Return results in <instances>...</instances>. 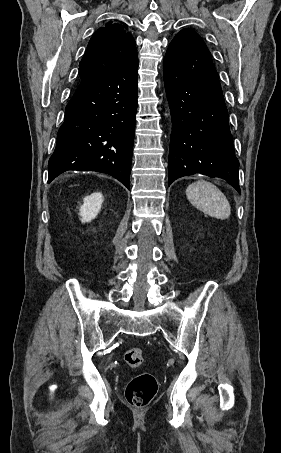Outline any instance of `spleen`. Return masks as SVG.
<instances>
[{
    "label": "spleen",
    "instance_id": "spleen-1",
    "mask_svg": "<svg viewBox=\"0 0 281 453\" xmlns=\"http://www.w3.org/2000/svg\"><path fill=\"white\" fill-rule=\"evenodd\" d=\"M186 194L188 200L210 216L215 218H229L231 214V206L229 200H227L225 194L207 180H197L192 182L186 188Z\"/></svg>",
    "mask_w": 281,
    "mask_h": 453
}]
</instances>
